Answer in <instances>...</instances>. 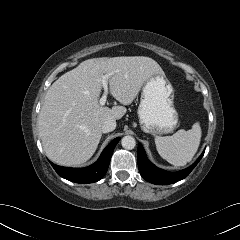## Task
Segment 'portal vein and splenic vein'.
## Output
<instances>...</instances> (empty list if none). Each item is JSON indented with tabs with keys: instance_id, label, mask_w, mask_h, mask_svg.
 Returning a JSON list of instances; mask_svg holds the SVG:
<instances>
[{
	"instance_id": "18ae733b",
	"label": "portal vein and splenic vein",
	"mask_w": 240,
	"mask_h": 240,
	"mask_svg": "<svg viewBox=\"0 0 240 240\" xmlns=\"http://www.w3.org/2000/svg\"><path fill=\"white\" fill-rule=\"evenodd\" d=\"M107 79H108V75H105L102 78V86L104 88V93H103L102 97L99 100V104L101 106L105 105V103L107 101V94H108V82H107Z\"/></svg>"
}]
</instances>
